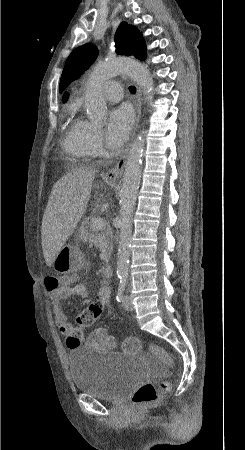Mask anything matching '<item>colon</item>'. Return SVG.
Segmentation results:
<instances>
[{
  "instance_id": "5ec220e1",
  "label": "colon",
  "mask_w": 245,
  "mask_h": 450,
  "mask_svg": "<svg viewBox=\"0 0 245 450\" xmlns=\"http://www.w3.org/2000/svg\"><path fill=\"white\" fill-rule=\"evenodd\" d=\"M75 280V277L49 276L45 279V289L48 293L61 290L64 286ZM102 311V303L99 301L92 302L87 306L76 319V326L68 337V344L71 346L81 345L85 340V330L91 327L99 318ZM139 343L130 338L124 343V349L130 352L137 351ZM150 352L155 355L164 365H170L171 359L169 354L161 347L151 344ZM171 387L170 381H162L158 387L152 383L142 384L133 394L131 404L136 407L151 405L156 403L161 395L169 391Z\"/></svg>"
}]
</instances>
